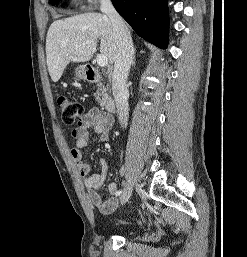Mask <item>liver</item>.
Listing matches in <instances>:
<instances>
[{"label": "liver", "mask_w": 247, "mask_h": 257, "mask_svg": "<svg viewBox=\"0 0 247 257\" xmlns=\"http://www.w3.org/2000/svg\"><path fill=\"white\" fill-rule=\"evenodd\" d=\"M98 39L101 54L107 56L109 63H113L117 45L107 15L84 13L55 20L46 38L47 66L52 81H59L70 62L89 61L96 51Z\"/></svg>", "instance_id": "6515ba94"}]
</instances>
